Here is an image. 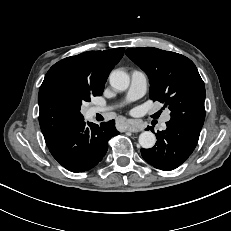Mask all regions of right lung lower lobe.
I'll return each mask as SVG.
<instances>
[{
	"label": "right lung lower lobe",
	"instance_id": "98d812e1",
	"mask_svg": "<svg viewBox=\"0 0 231 231\" xmlns=\"http://www.w3.org/2000/svg\"><path fill=\"white\" fill-rule=\"evenodd\" d=\"M118 134L114 120L101 126L82 121L62 131L47 146L64 168L72 172H84L103 159L109 139Z\"/></svg>",
	"mask_w": 231,
	"mask_h": 231
}]
</instances>
